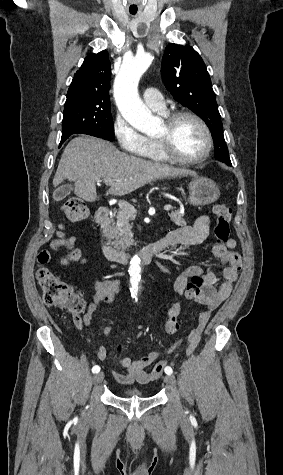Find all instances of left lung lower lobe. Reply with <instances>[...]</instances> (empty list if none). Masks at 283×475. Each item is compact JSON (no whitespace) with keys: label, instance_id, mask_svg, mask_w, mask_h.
<instances>
[{"label":"left lung lower lobe","instance_id":"0a47b994","mask_svg":"<svg viewBox=\"0 0 283 475\" xmlns=\"http://www.w3.org/2000/svg\"><path fill=\"white\" fill-rule=\"evenodd\" d=\"M214 141V151L217 160L226 163L231 166L227 145L224 140L223 134L212 135Z\"/></svg>","mask_w":283,"mask_h":475}]
</instances>
